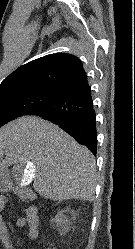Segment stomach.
Listing matches in <instances>:
<instances>
[{
    "label": "stomach",
    "instance_id": "obj_1",
    "mask_svg": "<svg viewBox=\"0 0 135 249\" xmlns=\"http://www.w3.org/2000/svg\"><path fill=\"white\" fill-rule=\"evenodd\" d=\"M0 171H1V169H0ZM3 179V174H2V172H0V180H2ZM4 181H6V180H4Z\"/></svg>",
    "mask_w": 135,
    "mask_h": 249
}]
</instances>
